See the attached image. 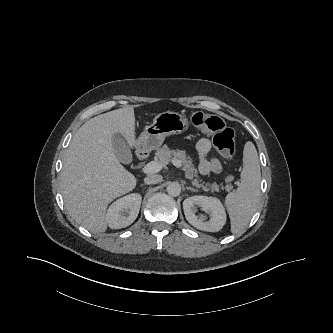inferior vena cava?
<instances>
[{
    "label": "inferior vena cava",
    "instance_id": "602c4592",
    "mask_svg": "<svg viewBox=\"0 0 333 333\" xmlns=\"http://www.w3.org/2000/svg\"><path fill=\"white\" fill-rule=\"evenodd\" d=\"M162 179H163V177L161 175L151 174V175H148L147 177H145L144 182L148 185L157 184V183L161 182Z\"/></svg>",
    "mask_w": 333,
    "mask_h": 333
}]
</instances>
